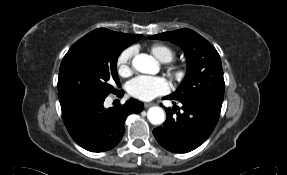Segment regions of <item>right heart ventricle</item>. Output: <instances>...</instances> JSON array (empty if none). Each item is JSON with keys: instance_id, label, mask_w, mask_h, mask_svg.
<instances>
[{"instance_id": "1", "label": "right heart ventricle", "mask_w": 287, "mask_h": 175, "mask_svg": "<svg viewBox=\"0 0 287 175\" xmlns=\"http://www.w3.org/2000/svg\"><path fill=\"white\" fill-rule=\"evenodd\" d=\"M148 50L161 62H170L175 57L174 48L165 43H153Z\"/></svg>"}]
</instances>
